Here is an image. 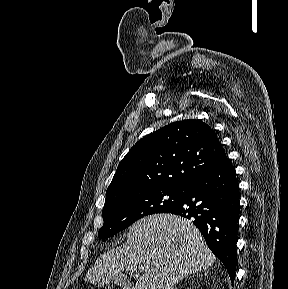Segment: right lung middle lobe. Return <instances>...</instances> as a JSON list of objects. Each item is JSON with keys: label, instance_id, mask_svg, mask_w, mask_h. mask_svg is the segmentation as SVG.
Masks as SVG:
<instances>
[{"label": "right lung middle lobe", "instance_id": "obj_1", "mask_svg": "<svg viewBox=\"0 0 288 289\" xmlns=\"http://www.w3.org/2000/svg\"><path fill=\"white\" fill-rule=\"evenodd\" d=\"M184 188L133 190L106 197L102 210L104 225L98 236L103 241L129 227L138 219L168 213L182 199Z\"/></svg>", "mask_w": 288, "mask_h": 289}]
</instances>
